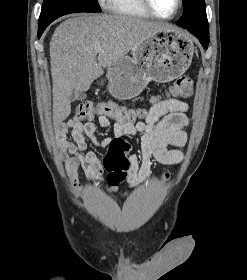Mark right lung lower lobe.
Segmentation results:
<instances>
[{
	"instance_id": "right-lung-lower-lobe-1",
	"label": "right lung lower lobe",
	"mask_w": 247,
	"mask_h": 280,
	"mask_svg": "<svg viewBox=\"0 0 247 280\" xmlns=\"http://www.w3.org/2000/svg\"><path fill=\"white\" fill-rule=\"evenodd\" d=\"M47 26H38V38L42 35Z\"/></svg>"
}]
</instances>
